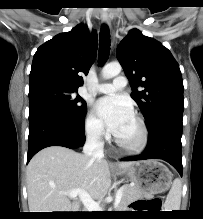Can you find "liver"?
Listing matches in <instances>:
<instances>
[{
  "instance_id": "6515ba94",
  "label": "liver",
  "mask_w": 203,
  "mask_h": 219,
  "mask_svg": "<svg viewBox=\"0 0 203 219\" xmlns=\"http://www.w3.org/2000/svg\"><path fill=\"white\" fill-rule=\"evenodd\" d=\"M134 162H120V169ZM110 164L94 160L62 146L39 151L27 166V192L30 212H77L79 203L68 193L83 189L91 198L105 195L111 186Z\"/></svg>"
}]
</instances>
